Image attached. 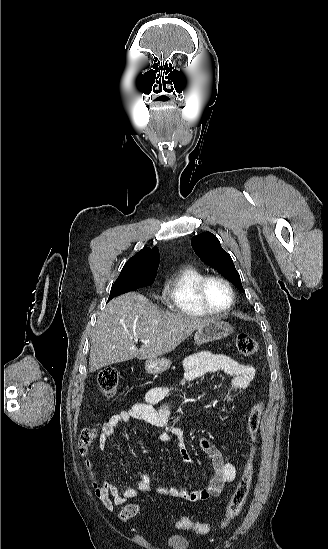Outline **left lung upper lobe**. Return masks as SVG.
<instances>
[{
    "mask_svg": "<svg viewBox=\"0 0 328 549\" xmlns=\"http://www.w3.org/2000/svg\"><path fill=\"white\" fill-rule=\"evenodd\" d=\"M191 243L195 253L204 263L217 270L241 292H244L240 275L235 269L231 256L222 249L220 241L214 234L201 233L194 236Z\"/></svg>",
    "mask_w": 328,
    "mask_h": 549,
    "instance_id": "5c2ea615",
    "label": "left lung upper lobe"
}]
</instances>
